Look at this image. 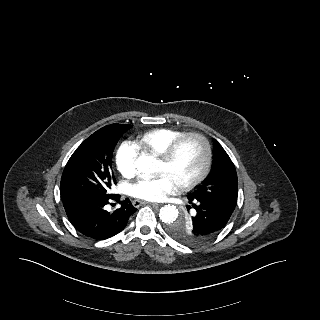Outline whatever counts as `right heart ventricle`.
I'll return each instance as SVG.
<instances>
[{"mask_svg": "<svg viewBox=\"0 0 320 320\" xmlns=\"http://www.w3.org/2000/svg\"><path fill=\"white\" fill-rule=\"evenodd\" d=\"M182 134V131L172 128H156L139 135L136 138V145L142 151L159 156Z\"/></svg>", "mask_w": 320, "mask_h": 320, "instance_id": "e07e8e85", "label": "right heart ventricle"}]
</instances>
